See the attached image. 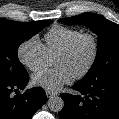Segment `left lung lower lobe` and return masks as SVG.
<instances>
[{"mask_svg":"<svg viewBox=\"0 0 119 119\" xmlns=\"http://www.w3.org/2000/svg\"><path fill=\"white\" fill-rule=\"evenodd\" d=\"M72 88L82 95L61 94L59 119H119V79L78 82Z\"/></svg>","mask_w":119,"mask_h":119,"instance_id":"1","label":"left lung lower lobe"}]
</instances>
